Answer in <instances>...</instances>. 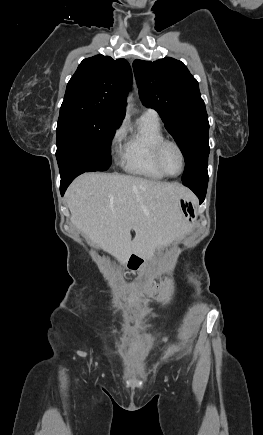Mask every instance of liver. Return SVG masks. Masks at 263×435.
I'll use <instances>...</instances> for the list:
<instances>
[{"mask_svg":"<svg viewBox=\"0 0 263 435\" xmlns=\"http://www.w3.org/2000/svg\"><path fill=\"white\" fill-rule=\"evenodd\" d=\"M188 195L178 183L85 173L73 181L65 197L72 224L92 245L126 264L131 254L151 258L156 248L188 232L177 205ZM131 230L136 234L133 240Z\"/></svg>","mask_w":263,"mask_h":435,"instance_id":"1","label":"liver"}]
</instances>
